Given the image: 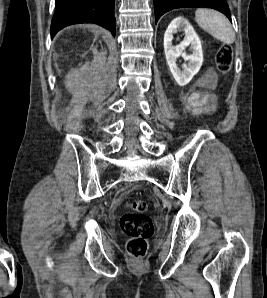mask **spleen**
I'll use <instances>...</instances> for the list:
<instances>
[{
	"label": "spleen",
	"instance_id": "spleen-1",
	"mask_svg": "<svg viewBox=\"0 0 267 298\" xmlns=\"http://www.w3.org/2000/svg\"><path fill=\"white\" fill-rule=\"evenodd\" d=\"M197 24L206 32L225 44L235 41V33L230 21L222 13L200 8L195 12Z\"/></svg>",
	"mask_w": 267,
	"mask_h": 298
}]
</instances>
